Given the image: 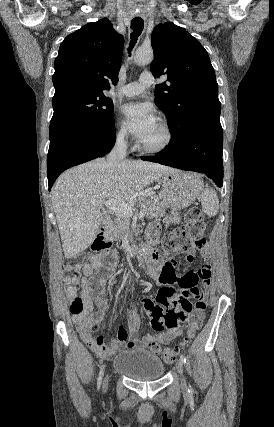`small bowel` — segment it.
Returning <instances> with one entry per match:
<instances>
[{
  "instance_id": "c3829d8e",
  "label": "small bowel",
  "mask_w": 274,
  "mask_h": 427,
  "mask_svg": "<svg viewBox=\"0 0 274 427\" xmlns=\"http://www.w3.org/2000/svg\"><path fill=\"white\" fill-rule=\"evenodd\" d=\"M158 234V224L149 225L147 230L149 241L154 242ZM104 249L100 248L99 251L93 253L89 262L83 267L81 299L84 309L81 313L72 315V321L76 324L81 338L98 357L112 359L123 350L147 349L152 343L165 344L175 336L183 335L180 320H188L190 312L182 310H195L197 305L206 307L205 298L208 295L210 278L213 274L210 264H201L200 269H193L191 272L185 269L178 271L176 264H167L165 270L162 271L165 262L156 260L145 268L152 278L159 281L162 289L155 291L156 299H139L138 307L146 308V317L150 320V326L154 327L156 332L161 333L156 335L148 333L139 339L141 318L135 310H132L129 313L128 326L121 325L116 338L106 342L103 336L94 335L92 329L95 324L104 321L107 315L109 304L105 297V286L117 266L118 254L115 250ZM194 251L202 257L208 254L202 245L196 244L193 249L187 250L189 265L198 263V258L193 256ZM204 274L206 278L203 277ZM198 284L203 285V292H199ZM187 294H197L196 303L195 301H179L180 297ZM95 303L98 305V309L93 311ZM195 314H197L196 310ZM201 315L203 318V314Z\"/></svg>"
}]
</instances>
